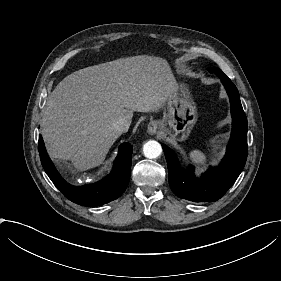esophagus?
<instances>
[{
    "instance_id": "1",
    "label": "esophagus",
    "mask_w": 281,
    "mask_h": 281,
    "mask_svg": "<svg viewBox=\"0 0 281 281\" xmlns=\"http://www.w3.org/2000/svg\"><path fill=\"white\" fill-rule=\"evenodd\" d=\"M157 127L158 126L156 123H154V122L149 123L148 128H147L148 133L151 135L155 134L157 131Z\"/></svg>"
}]
</instances>
